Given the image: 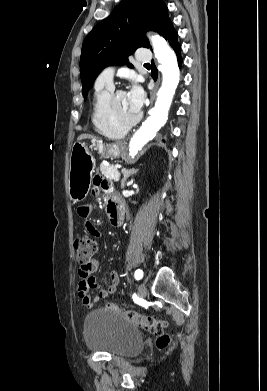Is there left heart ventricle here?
Masks as SVG:
<instances>
[{
	"instance_id": "left-heart-ventricle-1",
	"label": "left heart ventricle",
	"mask_w": 267,
	"mask_h": 391,
	"mask_svg": "<svg viewBox=\"0 0 267 391\" xmlns=\"http://www.w3.org/2000/svg\"><path fill=\"white\" fill-rule=\"evenodd\" d=\"M115 112L123 121H129L137 116V112L132 108L127 94H121L114 101Z\"/></svg>"
}]
</instances>
